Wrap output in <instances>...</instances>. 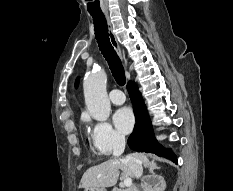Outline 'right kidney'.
Here are the masks:
<instances>
[{
  "label": "right kidney",
  "mask_w": 233,
  "mask_h": 191,
  "mask_svg": "<svg viewBox=\"0 0 233 191\" xmlns=\"http://www.w3.org/2000/svg\"><path fill=\"white\" fill-rule=\"evenodd\" d=\"M155 179L148 185L145 191H164L166 188V182L162 176H154Z\"/></svg>",
  "instance_id": "1"
}]
</instances>
